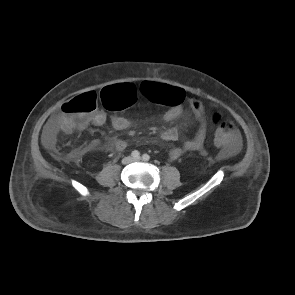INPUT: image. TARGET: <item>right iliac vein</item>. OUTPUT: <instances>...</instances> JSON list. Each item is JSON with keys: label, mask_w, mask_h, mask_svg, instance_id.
<instances>
[{"label": "right iliac vein", "mask_w": 295, "mask_h": 295, "mask_svg": "<svg viewBox=\"0 0 295 295\" xmlns=\"http://www.w3.org/2000/svg\"><path fill=\"white\" fill-rule=\"evenodd\" d=\"M130 162H132V158H131V157H126V158L124 159V163L128 164V163H130Z\"/></svg>", "instance_id": "1"}]
</instances>
